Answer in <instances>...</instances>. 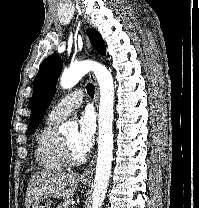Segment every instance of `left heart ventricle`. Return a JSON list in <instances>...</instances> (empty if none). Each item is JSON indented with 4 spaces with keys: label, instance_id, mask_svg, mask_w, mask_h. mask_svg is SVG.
<instances>
[{
    "label": "left heart ventricle",
    "instance_id": "obj_1",
    "mask_svg": "<svg viewBox=\"0 0 199 208\" xmlns=\"http://www.w3.org/2000/svg\"><path fill=\"white\" fill-rule=\"evenodd\" d=\"M77 134L73 133L71 135H69L68 137H66V141L69 144V146L71 147L73 153L78 156L81 157L83 156V154L81 152H79L76 148V141H77Z\"/></svg>",
    "mask_w": 199,
    "mask_h": 208
}]
</instances>
